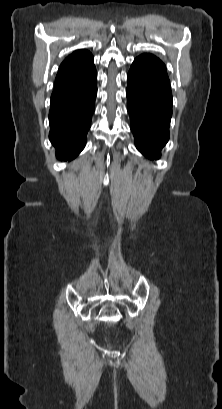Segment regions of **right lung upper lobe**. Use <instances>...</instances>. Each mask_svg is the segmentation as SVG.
<instances>
[{"instance_id":"cb5924a9","label":"right lung upper lobe","mask_w":222,"mask_h":409,"mask_svg":"<svg viewBox=\"0 0 222 409\" xmlns=\"http://www.w3.org/2000/svg\"><path fill=\"white\" fill-rule=\"evenodd\" d=\"M95 68L93 56L87 50H78L69 55L60 65L52 94H62L78 88L79 81L63 79L70 74H85Z\"/></svg>"}]
</instances>
